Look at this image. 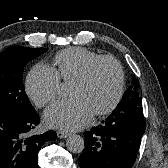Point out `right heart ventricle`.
<instances>
[{
  "label": "right heart ventricle",
  "instance_id": "obj_1",
  "mask_svg": "<svg viewBox=\"0 0 168 168\" xmlns=\"http://www.w3.org/2000/svg\"><path fill=\"white\" fill-rule=\"evenodd\" d=\"M99 56L101 55L82 47L61 50L54 57L56 71L62 80L71 82L81 74L92 60Z\"/></svg>",
  "mask_w": 168,
  "mask_h": 168
}]
</instances>
